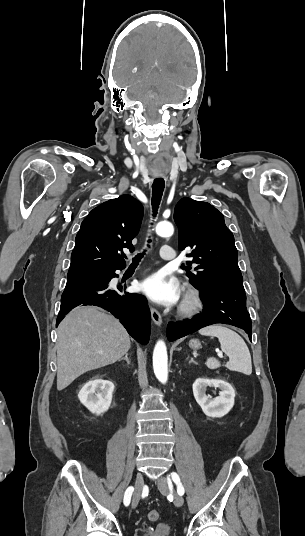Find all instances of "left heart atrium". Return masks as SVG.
Instances as JSON below:
<instances>
[{"label": "left heart atrium", "instance_id": "39dd6f15", "mask_svg": "<svg viewBox=\"0 0 305 536\" xmlns=\"http://www.w3.org/2000/svg\"><path fill=\"white\" fill-rule=\"evenodd\" d=\"M139 290L149 299L161 304H174L179 299V289L175 282L166 281L161 274H153L143 280Z\"/></svg>", "mask_w": 305, "mask_h": 536}]
</instances>
